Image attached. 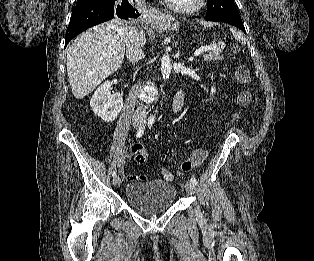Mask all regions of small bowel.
<instances>
[{"instance_id":"c3829d8e","label":"small bowel","mask_w":314,"mask_h":261,"mask_svg":"<svg viewBox=\"0 0 314 261\" xmlns=\"http://www.w3.org/2000/svg\"><path fill=\"white\" fill-rule=\"evenodd\" d=\"M139 155L147 156V152H146V150H145L143 145H141V144H134V145L130 146L125 151L123 156L121 157V159H120V168H121V174H122L124 179L130 180V181H133V180L137 179V177L135 175H131V174H126L125 173L124 164H125V162H127L129 160H134V161L137 162V158H138ZM160 171H161V174H162V176H163V178L165 180H167V181H173L174 180L173 174L169 170H167V168L161 167Z\"/></svg>"}]
</instances>
